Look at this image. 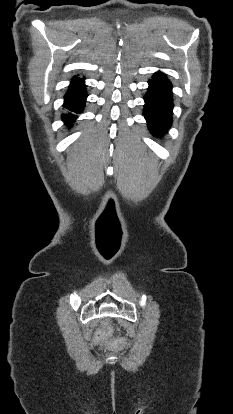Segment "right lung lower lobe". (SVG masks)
<instances>
[{
	"instance_id": "right-lung-lower-lobe-1",
	"label": "right lung lower lobe",
	"mask_w": 233,
	"mask_h": 414,
	"mask_svg": "<svg viewBox=\"0 0 233 414\" xmlns=\"http://www.w3.org/2000/svg\"><path fill=\"white\" fill-rule=\"evenodd\" d=\"M87 93L83 79L73 77L70 87L64 96L63 106L66 108L67 113L62 115V120L70 127L76 120L77 115L83 111Z\"/></svg>"
}]
</instances>
